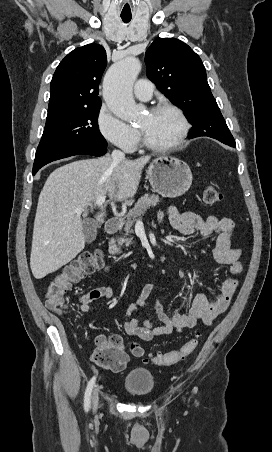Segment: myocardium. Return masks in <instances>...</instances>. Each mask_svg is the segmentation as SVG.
I'll use <instances>...</instances> for the list:
<instances>
[{
    "label": "myocardium",
    "mask_w": 272,
    "mask_h": 452,
    "mask_svg": "<svg viewBox=\"0 0 272 452\" xmlns=\"http://www.w3.org/2000/svg\"><path fill=\"white\" fill-rule=\"evenodd\" d=\"M161 111H168V112L174 114L179 121L180 128H179L177 136L175 137V139L173 141L166 143V144H153L146 139L142 130L138 129L140 143L150 150L160 151V152L173 150V149H176L177 147H179L184 142V140L186 139L188 132H189V122L181 109H179L177 106L172 105V104H159V105L153 106L150 109L149 113L155 114V113H158Z\"/></svg>",
    "instance_id": "myocardium-1"
}]
</instances>
